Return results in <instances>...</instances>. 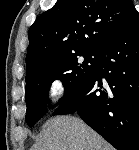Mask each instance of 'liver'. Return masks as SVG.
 Instances as JSON below:
<instances>
[{
    "mask_svg": "<svg viewBox=\"0 0 139 150\" xmlns=\"http://www.w3.org/2000/svg\"><path fill=\"white\" fill-rule=\"evenodd\" d=\"M34 150H113L112 147L82 120L58 116L44 125L41 139Z\"/></svg>",
    "mask_w": 139,
    "mask_h": 150,
    "instance_id": "6515ba94",
    "label": "liver"
}]
</instances>
